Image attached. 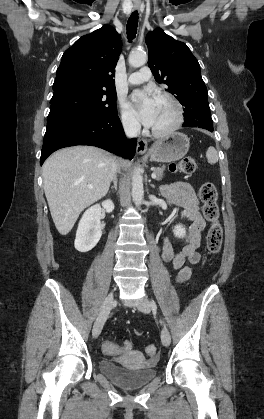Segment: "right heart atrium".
Returning <instances> with one entry per match:
<instances>
[{
  "label": "right heart atrium",
  "mask_w": 264,
  "mask_h": 419,
  "mask_svg": "<svg viewBox=\"0 0 264 419\" xmlns=\"http://www.w3.org/2000/svg\"><path fill=\"white\" fill-rule=\"evenodd\" d=\"M120 120L123 128L130 132L135 133L139 130V122L135 114L131 111L124 101H119Z\"/></svg>",
  "instance_id": "obj_1"
}]
</instances>
